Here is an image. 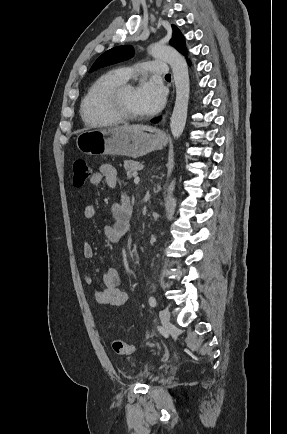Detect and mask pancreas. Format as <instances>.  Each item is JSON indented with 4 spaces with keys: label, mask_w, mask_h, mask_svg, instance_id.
<instances>
[{
    "label": "pancreas",
    "mask_w": 287,
    "mask_h": 434,
    "mask_svg": "<svg viewBox=\"0 0 287 434\" xmlns=\"http://www.w3.org/2000/svg\"><path fill=\"white\" fill-rule=\"evenodd\" d=\"M124 168L126 170L127 177L130 178L131 176L136 174L139 170H141L143 168V165L137 161L126 160L124 161Z\"/></svg>",
    "instance_id": "cf45deb5"
}]
</instances>
